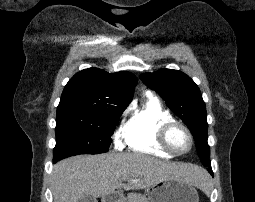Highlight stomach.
Listing matches in <instances>:
<instances>
[{
	"label": "stomach",
	"instance_id": "1",
	"mask_svg": "<svg viewBox=\"0 0 255 202\" xmlns=\"http://www.w3.org/2000/svg\"><path fill=\"white\" fill-rule=\"evenodd\" d=\"M148 202H199L193 185L180 179H165L146 191ZM116 202H125L120 196Z\"/></svg>",
	"mask_w": 255,
	"mask_h": 202
}]
</instances>
